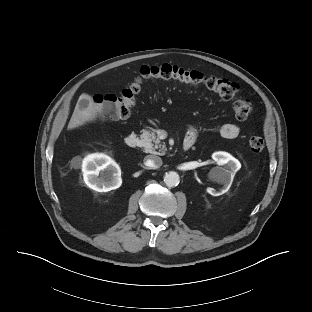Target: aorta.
<instances>
[{
  "label": "aorta",
  "instance_id": "762f6f07",
  "mask_svg": "<svg viewBox=\"0 0 312 312\" xmlns=\"http://www.w3.org/2000/svg\"><path fill=\"white\" fill-rule=\"evenodd\" d=\"M164 182L168 187H175L179 184L180 177H179L178 173H176L174 171H170V172L165 174Z\"/></svg>",
  "mask_w": 312,
  "mask_h": 312
}]
</instances>
